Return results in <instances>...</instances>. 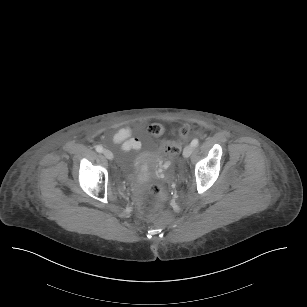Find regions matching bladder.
<instances>
[{"instance_id": "1", "label": "bladder", "mask_w": 307, "mask_h": 307, "mask_svg": "<svg viewBox=\"0 0 307 307\" xmlns=\"http://www.w3.org/2000/svg\"><path fill=\"white\" fill-rule=\"evenodd\" d=\"M144 157L145 152L140 149H133L126 152L122 158L123 169L128 172L133 171L139 166Z\"/></svg>"}]
</instances>
